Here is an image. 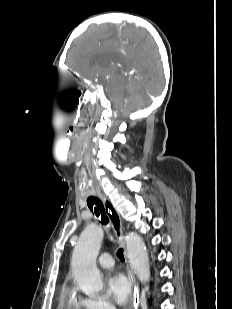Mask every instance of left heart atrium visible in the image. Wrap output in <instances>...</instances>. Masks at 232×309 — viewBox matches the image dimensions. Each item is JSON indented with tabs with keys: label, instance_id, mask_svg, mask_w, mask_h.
<instances>
[{
	"label": "left heart atrium",
	"instance_id": "obj_1",
	"mask_svg": "<svg viewBox=\"0 0 232 309\" xmlns=\"http://www.w3.org/2000/svg\"><path fill=\"white\" fill-rule=\"evenodd\" d=\"M108 291L112 299L120 306L130 303L133 298L132 284L121 271L112 272L107 278Z\"/></svg>",
	"mask_w": 232,
	"mask_h": 309
}]
</instances>
